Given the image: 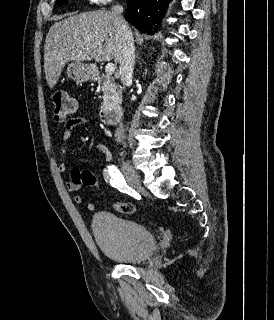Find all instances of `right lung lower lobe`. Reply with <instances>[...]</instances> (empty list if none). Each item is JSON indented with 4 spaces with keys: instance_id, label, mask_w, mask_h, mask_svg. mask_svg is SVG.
I'll list each match as a JSON object with an SVG mask.
<instances>
[{
    "instance_id": "obj_1",
    "label": "right lung lower lobe",
    "mask_w": 274,
    "mask_h": 320,
    "mask_svg": "<svg viewBox=\"0 0 274 320\" xmlns=\"http://www.w3.org/2000/svg\"><path fill=\"white\" fill-rule=\"evenodd\" d=\"M171 0H127L125 19L138 30L154 34L153 25L160 22Z\"/></svg>"
}]
</instances>
